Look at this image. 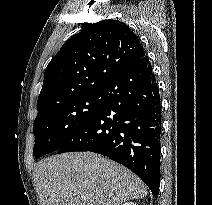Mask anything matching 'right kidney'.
<instances>
[{
	"instance_id": "ca27d5eb",
	"label": "right kidney",
	"mask_w": 212,
	"mask_h": 205,
	"mask_svg": "<svg viewBox=\"0 0 212 205\" xmlns=\"http://www.w3.org/2000/svg\"><path fill=\"white\" fill-rule=\"evenodd\" d=\"M123 205H137V204H134L132 202H127V203H124Z\"/></svg>"
}]
</instances>
